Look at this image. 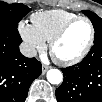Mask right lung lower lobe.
<instances>
[{"label":"right lung lower lobe","mask_w":102,"mask_h":102,"mask_svg":"<svg viewBox=\"0 0 102 102\" xmlns=\"http://www.w3.org/2000/svg\"><path fill=\"white\" fill-rule=\"evenodd\" d=\"M18 32L0 33V102H24L29 87L41 74V63L24 57Z\"/></svg>","instance_id":"1"}]
</instances>
